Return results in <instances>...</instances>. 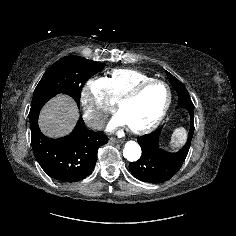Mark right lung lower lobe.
I'll use <instances>...</instances> for the list:
<instances>
[{
    "instance_id": "obj_1",
    "label": "right lung lower lobe",
    "mask_w": 236,
    "mask_h": 236,
    "mask_svg": "<svg viewBox=\"0 0 236 236\" xmlns=\"http://www.w3.org/2000/svg\"><path fill=\"white\" fill-rule=\"evenodd\" d=\"M39 112L29 113V121L32 149L42 169L59 182L86 178L95 167L98 148L106 144L108 138L87 129L81 117L68 136L48 138L39 129Z\"/></svg>"
}]
</instances>
